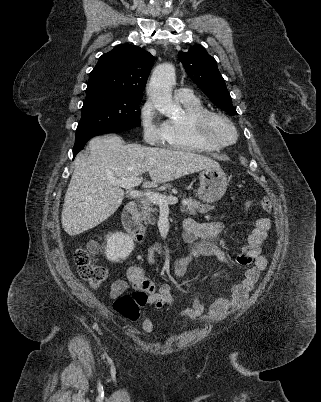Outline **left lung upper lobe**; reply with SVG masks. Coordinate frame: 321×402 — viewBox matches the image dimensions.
<instances>
[{"label":"left lung upper lobe","mask_w":321,"mask_h":402,"mask_svg":"<svg viewBox=\"0 0 321 402\" xmlns=\"http://www.w3.org/2000/svg\"><path fill=\"white\" fill-rule=\"evenodd\" d=\"M178 57L188 76L214 104L230 114H238L232 105L216 60L207 53L205 48L195 45L186 52L180 51Z\"/></svg>","instance_id":"left-lung-upper-lobe-1"}]
</instances>
